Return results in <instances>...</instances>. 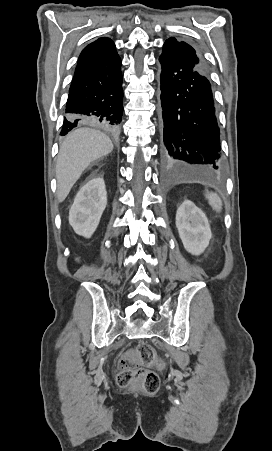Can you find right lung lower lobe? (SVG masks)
Segmentation results:
<instances>
[{"mask_svg": "<svg viewBox=\"0 0 272 451\" xmlns=\"http://www.w3.org/2000/svg\"><path fill=\"white\" fill-rule=\"evenodd\" d=\"M121 59L117 52L77 64L61 135L79 124L118 133L123 114Z\"/></svg>", "mask_w": 272, "mask_h": 451, "instance_id": "obj_1", "label": "right lung lower lobe"}]
</instances>
